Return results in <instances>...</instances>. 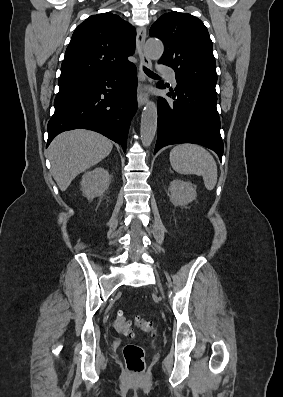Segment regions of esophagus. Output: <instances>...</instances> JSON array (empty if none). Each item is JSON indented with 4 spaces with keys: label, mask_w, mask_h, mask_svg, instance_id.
I'll return each mask as SVG.
<instances>
[{
    "label": "esophagus",
    "mask_w": 283,
    "mask_h": 397,
    "mask_svg": "<svg viewBox=\"0 0 283 397\" xmlns=\"http://www.w3.org/2000/svg\"><path fill=\"white\" fill-rule=\"evenodd\" d=\"M145 39H146V30L144 27H138L137 28V49H138V55L140 58V66H139V72H138V79H139V84H138V90H137V101L139 107H142L147 99H148V94L144 90V85L147 80V77L145 73L143 72V67L151 68L152 63L150 58L145 52Z\"/></svg>",
    "instance_id": "34e87169"
}]
</instances>
